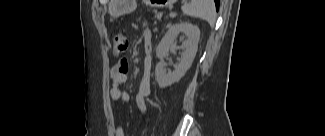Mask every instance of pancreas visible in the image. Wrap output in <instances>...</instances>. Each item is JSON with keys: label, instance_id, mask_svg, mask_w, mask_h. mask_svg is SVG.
Listing matches in <instances>:
<instances>
[{"label": "pancreas", "instance_id": "obj_1", "mask_svg": "<svg viewBox=\"0 0 325 136\" xmlns=\"http://www.w3.org/2000/svg\"><path fill=\"white\" fill-rule=\"evenodd\" d=\"M165 16L163 12H160V9H151L150 12L143 13L144 19H154L155 24H162Z\"/></svg>", "mask_w": 325, "mask_h": 136}]
</instances>
